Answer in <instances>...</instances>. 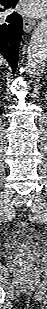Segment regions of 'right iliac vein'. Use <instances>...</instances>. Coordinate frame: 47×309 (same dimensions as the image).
Wrapping results in <instances>:
<instances>
[{"label":"right iliac vein","instance_id":"63e3f726","mask_svg":"<svg viewBox=\"0 0 47 309\" xmlns=\"http://www.w3.org/2000/svg\"><path fill=\"white\" fill-rule=\"evenodd\" d=\"M13 191L10 189H6L1 194L0 199V219L1 221H7V218L9 216L8 212V202L10 201L12 197Z\"/></svg>","mask_w":47,"mask_h":309}]
</instances>
